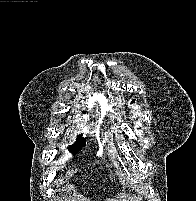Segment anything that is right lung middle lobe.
<instances>
[{
    "mask_svg": "<svg viewBox=\"0 0 196 201\" xmlns=\"http://www.w3.org/2000/svg\"><path fill=\"white\" fill-rule=\"evenodd\" d=\"M84 146H85V139L82 138V135H78L77 141L72 146L68 147V149L73 155H75Z\"/></svg>",
    "mask_w": 196,
    "mask_h": 201,
    "instance_id": "obj_1",
    "label": "right lung middle lobe"
}]
</instances>
